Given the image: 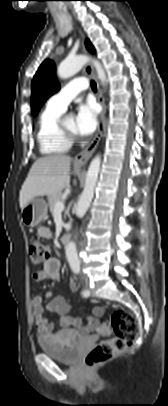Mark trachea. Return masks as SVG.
I'll return each mask as SVG.
<instances>
[{
    "label": "trachea",
    "instance_id": "obj_1",
    "mask_svg": "<svg viewBox=\"0 0 168 406\" xmlns=\"http://www.w3.org/2000/svg\"><path fill=\"white\" fill-rule=\"evenodd\" d=\"M91 88L93 91L97 90L96 83L93 80L91 81Z\"/></svg>",
    "mask_w": 168,
    "mask_h": 406
}]
</instances>
